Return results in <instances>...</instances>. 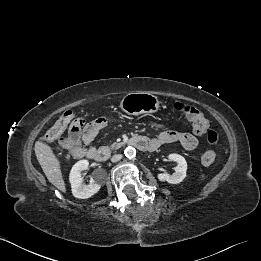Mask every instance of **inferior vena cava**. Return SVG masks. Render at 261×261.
<instances>
[{"label": "inferior vena cava", "instance_id": "602c4592", "mask_svg": "<svg viewBox=\"0 0 261 261\" xmlns=\"http://www.w3.org/2000/svg\"><path fill=\"white\" fill-rule=\"evenodd\" d=\"M122 159V155L121 154H116V155H113L112 158H111V161L112 162H118Z\"/></svg>", "mask_w": 261, "mask_h": 261}]
</instances>
